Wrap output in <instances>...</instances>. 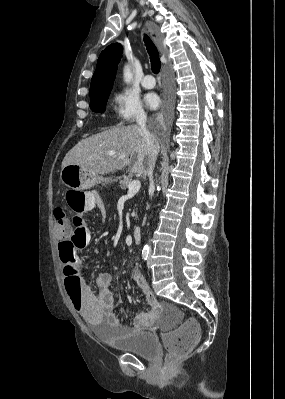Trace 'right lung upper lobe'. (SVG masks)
Wrapping results in <instances>:
<instances>
[{"label":"right lung upper lobe","mask_w":285,"mask_h":399,"mask_svg":"<svg viewBox=\"0 0 285 399\" xmlns=\"http://www.w3.org/2000/svg\"><path fill=\"white\" fill-rule=\"evenodd\" d=\"M122 50L121 44L114 43L101 52L91 79L90 98L112 90Z\"/></svg>","instance_id":"obj_1"}]
</instances>
